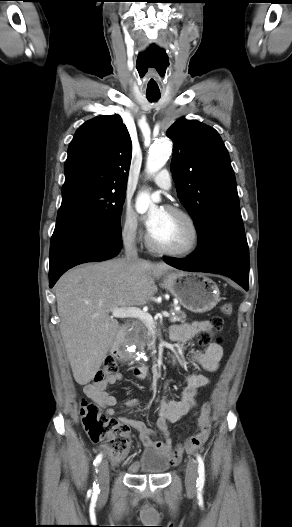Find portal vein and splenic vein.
Wrapping results in <instances>:
<instances>
[{"instance_id":"1","label":"portal vein and splenic vein","mask_w":292,"mask_h":527,"mask_svg":"<svg viewBox=\"0 0 292 527\" xmlns=\"http://www.w3.org/2000/svg\"><path fill=\"white\" fill-rule=\"evenodd\" d=\"M111 312H112V317L135 318V319H139L140 321H142L146 326L155 325V320L152 317V315L136 307L113 308ZM156 317H159V318L170 317V314L168 312H162V313L157 314Z\"/></svg>"}]
</instances>
